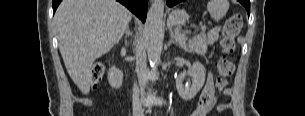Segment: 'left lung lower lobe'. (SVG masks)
<instances>
[{
    "label": "left lung lower lobe",
    "mask_w": 305,
    "mask_h": 116,
    "mask_svg": "<svg viewBox=\"0 0 305 116\" xmlns=\"http://www.w3.org/2000/svg\"><path fill=\"white\" fill-rule=\"evenodd\" d=\"M182 1L183 0H168L167 4H168L169 7H172V6H174L177 3L182 2ZM239 2H241L245 6V8H246V10L249 14V12H250V2H249V0H240Z\"/></svg>",
    "instance_id": "left-lung-lower-lobe-1"
}]
</instances>
